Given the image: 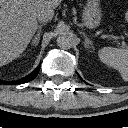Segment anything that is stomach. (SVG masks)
Returning <instances> with one entry per match:
<instances>
[{
	"label": "stomach",
	"instance_id": "stomach-1",
	"mask_svg": "<svg viewBox=\"0 0 128 128\" xmlns=\"http://www.w3.org/2000/svg\"><path fill=\"white\" fill-rule=\"evenodd\" d=\"M82 18L84 24L88 28H95L101 21V10L99 8V0H88L83 13Z\"/></svg>",
	"mask_w": 128,
	"mask_h": 128
}]
</instances>
